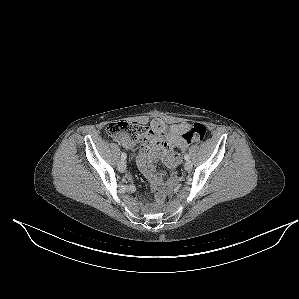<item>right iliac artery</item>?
I'll use <instances>...</instances> for the list:
<instances>
[{"instance_id": "1", "label": "right iliac artery", "mask_w": 299, "mask_h": 299, "mask_svg": "<svg viewBox=\"0 0 299 299\" xmlns=\"http://www.w3.org/2000/svg\"><path fill=\"white\" fill-rule=\"evenodd\" d=\"M126 157H127L126 153H122V155H121V160H125Z\"/></svg>"}]
</instances>
